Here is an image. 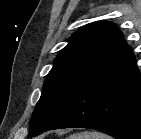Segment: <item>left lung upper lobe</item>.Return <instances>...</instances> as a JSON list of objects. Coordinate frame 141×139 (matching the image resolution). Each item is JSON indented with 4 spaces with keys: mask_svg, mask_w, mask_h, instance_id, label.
<instances>
[{
    "mask_svg": "<svg viewBox=\"0 0 141 139\" xmlns=\"http://www.w3.org/2000/svg\"><path fill=\"white\" fill-rule=\"evenodd\" d=\"M126 46L112 22L90 23L75 32L45 79L30 122V135H37L76 88Z\"/></svg>",
    "mask_w": 141,
    "mask_h": 139,
    "instance_id": "obj_1",
    "label": "left lung upper lobe"
}]
</instances>
